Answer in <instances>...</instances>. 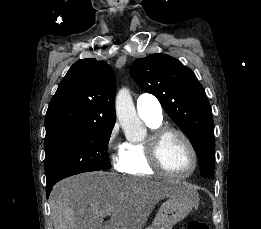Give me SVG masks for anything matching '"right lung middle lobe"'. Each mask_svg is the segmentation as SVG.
<instances>
[{"instance_id":"right-lung-middle-lobe-1","label":"right lung middle lobe","mask_w":261,"mask_h":229,"mask_svg":"<svg viewBox=\"0 0 261 229\" xmlns=\"http://www.w3.org/2000/svg\"><path fill=\"white\" fill-rule=\"evenodd\" d=\"M114 125H96L45 147L47 186L75 174L111 168L107 146Z\"/></svg>"}]
</instances>
